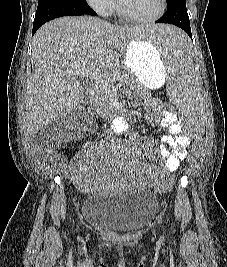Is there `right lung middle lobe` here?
Returning a JSON list of instances; mask_svg holds the SVG:
<instances>
[{
  "mask_svg": "<svg viewBox=\"0 0 227 267\" xmlns=\"http://www.w3.org/2000/svg\"><path fill=\"white\" fill-rule=\"evenodd\" d=\"M57 1H68V2L77 3V2H81V1H85V0H57Z\"/></svg>",
  "mask_w": 227,
  "mask_h": 267,
  "instance_id": "dd1d6c3e",
  "label": "right lung middle lobe"
}]
</instances>
